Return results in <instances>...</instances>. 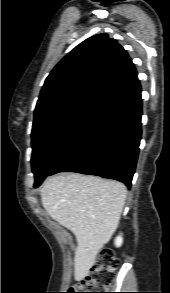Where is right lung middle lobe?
Segmentation results:
<instances>
[{
	"instance_id": "1",
	"label": "right lung middle lobe",
	"mask_w": 170,
	"mask_h": 293,
	"mask_svg": "<svg viewBox=\"0 0 170 293\" xmlns=\"http://www.w3.org/2000/svg\"><path fill=\"white\" fill-rule=\"evenodd\" d=\"M105 108L90 103L77 104L33 125L31 162L34 186L42 183L59 159L84 136Z\"/></svg>"
}]
</instances>
